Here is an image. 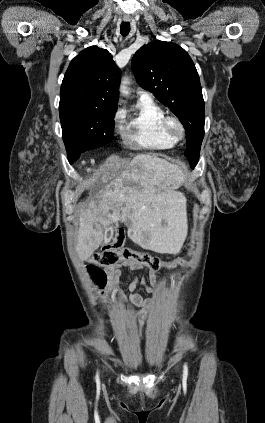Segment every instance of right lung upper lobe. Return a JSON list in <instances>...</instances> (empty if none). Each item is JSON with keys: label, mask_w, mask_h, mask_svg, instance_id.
Returning a JSON list of instances; mask_svg holds the SVG:
<instances>
[{"label": "right lung upper lobe", "mask_w": 265, "mask_h": 423, "mask_svg": "<svg viewBox=\"0 0 265 423\" xmlns=\"http://www.w3.org/2000/svg\"><path fill=\"white\" fill-rule=\"evenodd\" d=\"M121 71L108 50L91 46L70 63L60 91V103L76 102L117 110Z\"/></svg>", "instance_id": "obj_1"}]
</instances>
